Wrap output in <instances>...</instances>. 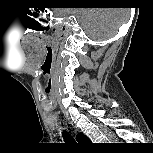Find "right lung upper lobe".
<instances>
[{
    "instance_id": "1",
    "label": "right lung upper lobe",
    "mask_w": 153,
    "mask_h": 153,
    "mask_svg": "<svg viewBox=\"0 0 153 153\" xmlns=\"http://www.w3.org/2000/svg\"><path fill=\"white\" fill-rule=\"evenodd\" d=\"M77 141L79 142H89V139L87 138V136H85L82 133H79L76 137Z\"/></svg>"
}]
</instances>
